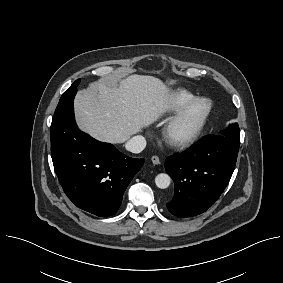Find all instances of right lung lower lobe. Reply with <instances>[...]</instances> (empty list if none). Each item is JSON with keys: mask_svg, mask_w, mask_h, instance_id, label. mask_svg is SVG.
<instances>
[{"mask_svg": "<svg viewBox=\"0 0 283 283\" xmlns=\"http://www.w3.org/2000/svg\"><path fill=\"white\" fill-rule=\"evenodd\" d=\"M76 92L77 86L62 94L52 119L54 169L66 195L77 207L108 217L117 212L126 187L144 159L127 157L112 144L80 131L74 119Z\"/></svg>", "mask_w": 283, "mask_h": 283, "instance_id": "right-lung-lower-lobe-1", "label": "right lung lower lobe"}]
</instances>
